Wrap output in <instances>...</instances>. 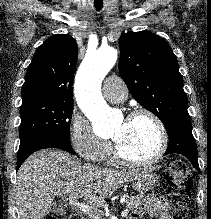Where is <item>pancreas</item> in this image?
Returning <instances> with one entry per match:
<instances>
[{
  "label": "pancreas",
  "mask_w": 211,
  "mask_h": 219,
  "mask_svg": "<svg viewBox=\"0 0 211 219\" xmlns=\"http://www.w3.org/2000/svg\"><path fill=\"white\" fill-rule=\"evenodd\" d=\"M123 198L125 199V204L127 209L133 210L135 208H138L143 198V195L142 194H139L137 196L123 195ZM100 219H104L102 218V214H100Z\"/></svg>",
  "instance_id": "cf45deb5"
}]
</instances>
